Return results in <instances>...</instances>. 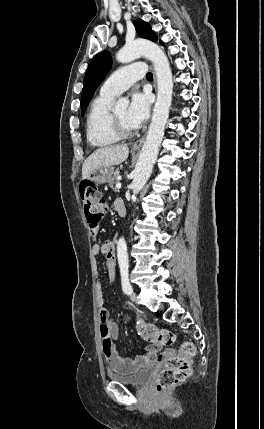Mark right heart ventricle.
Returning a JSON list of instances; mask_svg holds the SVG:
<instances>
[{"label": "right heart ventricle", "mask_w": 264, "mask_h": 429, "mask_svg": "<svg viewBox=\"0 0 264 429\" xmlns=\"http://www.w3.org/2000/svg\"><path fill=\"white\" fill-rule=\"evenodd\" d=\"M114 97L100 93L91 103L86 117V136L95 148L111 146L119 141L110 126V106Z\"/></svg>", "instance_id": "right-heart-ventricle-1"}]
</instances>
